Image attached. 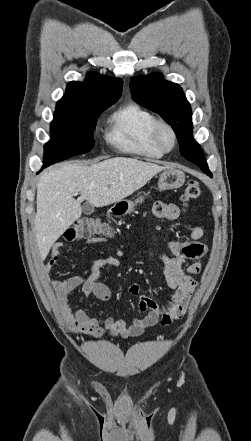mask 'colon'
I'll list each match as a JSON object with an SVG mask.
<instances>
[{
    "instance_id": "5ec220e1",
    "label": "colon",
    "mask_w": 251,
    "mask_h": 441,
    "mask_svg": "<svg viewBox=\"0 0 251 441\" xmlns=\"http://www.w3.org/2000/svg\"><path fill=\"white\" fill-rule=\"evenodd\" d=\"M200 185L197 181L188 182L182 199L187 205L200 196ZM112 233L110 226L99 219L81 218L73 225L68 227L63 234V238L67 242H73L81 239H87L98 235L108 236Z\"/></svg>"
}]
</instances>
